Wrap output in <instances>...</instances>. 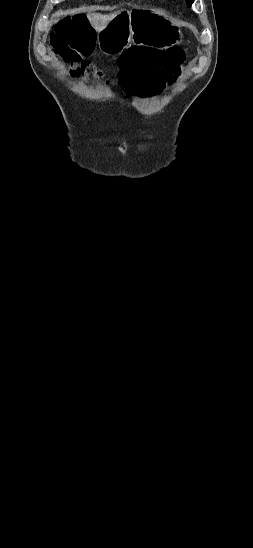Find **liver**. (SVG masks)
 Segmentation results:
<instances>
[{"instance_id":"6515ba94","label":"liver","mask_w":253,"mask_h":548,"mask_svg":"<svg viewBox=\"0 0 253 548\" xmlns=\"http://www.w3.org/2000/svg\"><path fill=\"white\" fill-rule=\"evenodd\" d=\"M120 12H114L108 15H103L100 13H90L87 15V19L92 26V28L99 32L103 30L109 22L114 19Z\"/></svg>"}]
</instances>
